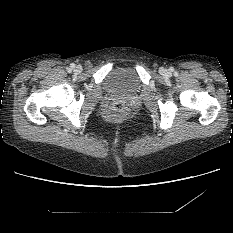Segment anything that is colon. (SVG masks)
I'll return each instance as SVG.
<instances>
[{
    "label": "colon",
    "mask_w": 233,
    "mask_h": 233,
    "mask_svg": "<svg viewBox=\"0 0 233 233\" xmlns=\"http://www.w3.org/2000/svg\"><path fill=\"white\" fill-rule=\"evenodd\" d=\"M129 112V103L125 99H116L105 107L104 115L108 121H114L124 118Z\"/></svg>",
    "instance_id": "colon-1"
}]
</instances>
